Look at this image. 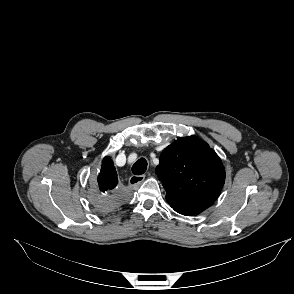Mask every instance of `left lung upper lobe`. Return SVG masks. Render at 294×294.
I'll use <instances>...</instances> for the list:
<instances>
[{
	"instance_id": "1",
	"label": "left lung upper lobe",
	"mask_w": 294,
	"mask_h": 294,
	"mask_svg": "<svg viewBox=\"0 0 294 294\" xmlns=\"http://www.w3.org/2000/svg\"><path fill=\"white\" fill-rule=\"evenodd\" d=\"M156 174L167 201L183 215H198L210 207L225 182L220 158L196 136L180 138L165 148Z\"/></svg>"
}]
</instances>
